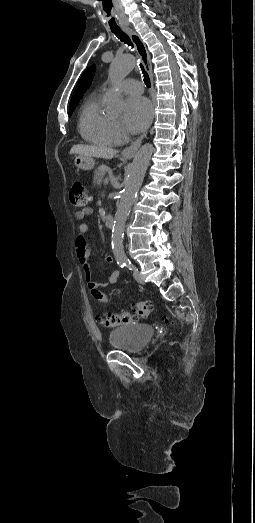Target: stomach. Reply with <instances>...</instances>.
<instances>
[{
	"instance_id": "1",
	"label": "stomach",
	"mask_w": 255,
	"mask_h": 523,
	"mask_svg": "<svg viewBox=\"0 0 255 523\" xmlns=\"http://www.w3.org/2000/svg\"><path fill=\"white\" fill-rule=\"evenodd\" d=\"M123 158H131V156H125V154H123ZM74 164L77 168H80V170H93L95 166V162L92 158H84V156H77L74 160Z\"/></svg>"
}]
</instances>
